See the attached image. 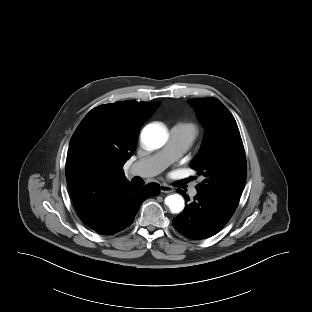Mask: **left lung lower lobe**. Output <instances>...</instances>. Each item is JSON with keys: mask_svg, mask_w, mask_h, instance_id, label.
Masks as SVG:
<instances>
[{"mask_svg": "<svg viewBox=\"0 0 312 312\" xmlns=\"http://www.w3.org/2000/svg\"><path fill=\"white\" fill-rule=\"evenodd\" d=\"M185 196V193L178 189ZM187 196L186 200L188 201ZM235 209L223 201L197 193L195 201L172 220L174 228L190 239H204L218 233L234 214Z\"/></svg>", "mask_w": 312, "mask_h": 312, "instance_id": "obj_1", "label": "left lung lower lobe"}]
</instances>
